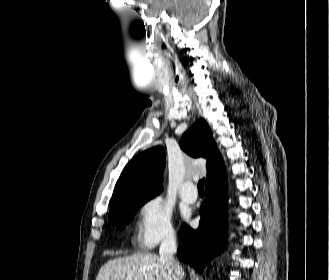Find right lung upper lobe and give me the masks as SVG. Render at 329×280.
Wrapping results in <instances>:
<instances>
[{
    "instance_id": "obj_1",
    "label": "right lung upper lobe",
    "mask_w": 329,
    "mask_h": 280,
    "mask_svg": "<svg viewBox=\"0 0 329 280\" xmlns=\"http://www.w3.org/2000/svg\"><path fill=\"white\" fill-rule=\"evenodd\" d=\"M180 146L192 157L207 159L206 183L225 169L212 132L204 119L197 120L183 135ZM165 160V152L160 147H154L133 158L116 183L110 212L126 201L159 194Z\"/></svg>"
}]
</instances>
